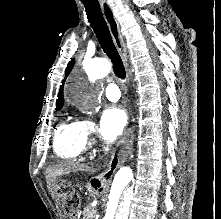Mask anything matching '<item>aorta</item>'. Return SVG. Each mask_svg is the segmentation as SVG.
Wrapping results in <instances>:
<instances>
[{
    "label": "aorta",
    "mask_w": 221,
    "mask_h": 219,
    "mask_svg": "<svg viewBox=\"0 0 221 219\" xmlns=\"http://www.w3.org/2000/svg\"><path fill=\"white\" fill-rule=\"evenodd\" d=\"M87 69L91 79L95 80L107 76L111 71V64L105 58H98L93 60ZM69 93L78 97L81 102L88 103L89 97L79 94L75 88H71ZM136 175L135 166H123L117 171L109 195L106 219H128L134 198Z\"/></svg>",
    "instance_id": "aorta-1"
}]
</instances>
